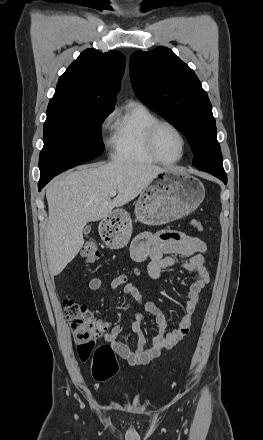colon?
<instances>
[{
  "instance_id": "colon-1",
  "label": "colon",
  "mask_w": 263,
  "mask_h": 440,
  "mask_svg": "<svg viewBox=\"0 0 263 440\" xmlns=\"http://www.w3.org/2000/svg\"><path fill=\"white\" fill-rule=\"evenodd\" d=\"M193 228L202 233L203 224L198 220L192 221ZM81 257L88 263H94L100 258V251L93 239H88L83 245ZM64 313L76 340V351L80 360L92 358V373L96 380L107 381L118 373V364L110 345H97L99 329L92 312L88 307L72 298L63 302Z\"/></svg>"
}]
</instances>
